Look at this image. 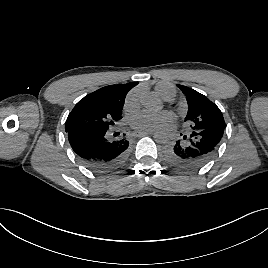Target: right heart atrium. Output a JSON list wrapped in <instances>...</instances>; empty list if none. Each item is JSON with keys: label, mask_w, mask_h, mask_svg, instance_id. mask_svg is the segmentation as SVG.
Masks as SVG:
<instances>
[{"label": "right heart atrium", "mask_w": 268, "mask_h": 268, "mask_svg": "<svg viewBox=\"0 0 268 268\" xmlns=\"http://www.w3.org/2000/svg\"><path fill=\"white\" fill-rule=\"evenodd\" d=\"M139 107V96L136 91L130 93L125 101V108L134 111Z\"/></svg>", "instance_id": "1"}]
</instances>
